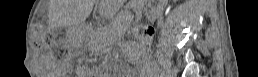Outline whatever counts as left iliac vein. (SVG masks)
Listing matches in <instances>:
<instances>
[{
	"mask_svg": "<svg viewBox=\"0 0 258 77\" xmlns=\"http://www.w3.org/2000/svg\"><path fill=\"white\" fill-rule=\"evenodd\" d=\"M176 71L174 69H168L167 71V77H175Z\"/></svg>",
	"mask_w": 258,
	"mask_h": 77,
	"instance_id": "left-iliac-vein-1",
	"label": "left iliac vein"
}]
</instances>
